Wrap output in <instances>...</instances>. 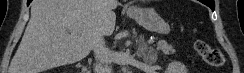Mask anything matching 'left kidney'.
<instances>
[{"instance_id": "5707ae66", "label": "left kidney", "mask_w": 244, "mask_h": 73, "mask_svg": "<svg viewBox=\"0 0 244 73\" xmlns=\"http://www.w3.org/2000/svg\"><path fill=\"white\" fill-rule=\"evenodd\" d=\"M166 73H188L186 66L178 61L169 63Z\"/></svg>"}]
</instances>
